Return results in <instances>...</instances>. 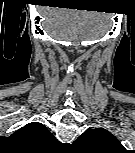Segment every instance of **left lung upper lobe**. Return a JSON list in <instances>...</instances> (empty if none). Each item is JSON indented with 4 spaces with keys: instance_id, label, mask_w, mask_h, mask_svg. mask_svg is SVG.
I'll return each mask as SVG.
<instances>
[{
    "instance_id": "obj_1",
    "label": "left lung upper lobe",
    "mask_w": 135,
    "mask_h": 153,
    "mask_svg": "<svg viewBox=\"0 0 135 153\" xmlns=\"http://www.w3.org/2000/svg\"><path fill=\"white\" fill-rule=\"evenodd\" d=\"M74 144L89 153H121L125 150L117 138L103 128L86 130Z\"/></svg>"
}]
</instances>
